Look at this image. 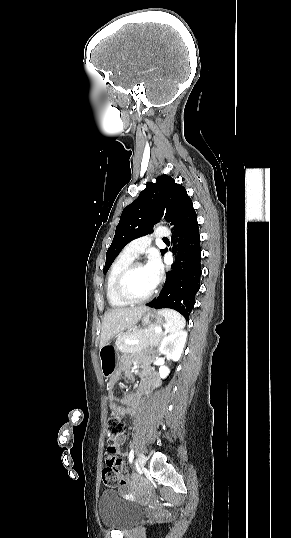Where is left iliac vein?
<instances>
[{"mask_svg":"<svg viewBox=\"0 0 291 538\" xmlns=\"http://www.w3.org/2000/svg\"><path fill=\"white\" fill-rule=\"evenodd\" d=\"M145 463H146L145 455L142 454V453H140V454L138 455V458H137V465H138V467H139L140 469H142V468L144 467Z\"/></svg>","mask_w":291,"mask_h":538,"instance_id":"left-iliac-vein-1","label":"left iliac vein"}]
</instances>
